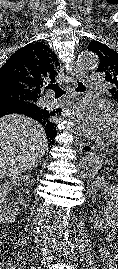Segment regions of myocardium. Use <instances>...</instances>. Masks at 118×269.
I'll return each instance as SVG.
<instances>
[{"mask_svg":"<svg viewBox=\"0 0 118 269\" xmlns=\"http://www.w3.org/2000/svg\"><path fill=\"white\" fill-rule=\"evenodd\" d=\"M113 116L114 118L118 119V110H116L114 113H113ZM111 143L118 146V137L116 136H112L111 139H110Z\"/></svg>","mask_w":118,"mask_h":269,"instance_id":"1","label":"myocardium"}]
</instances>
